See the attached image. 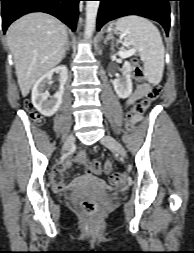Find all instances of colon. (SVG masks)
Masks as SVG:
<instances>
[{
	"instance_id": "5ec220e1",
	"label": "colon",
	"mask_w": 194,
	"mask_h": 253,
	"mask_svg": "<svg viewBox=\"0 0 194 253\" xmlns=\"http://www.w3.org/2000/svg\"><path fill=\"white\" fill-rule=\"evenodd\" d=\"M133 71H134V75L136 76V78L138 79H142V83H150V78H143V70L141 65L134 60L133 62ZM161 93V88L159 85H151L150 87V91L149 94L147 95V97L141 101H139L133 108L129 109L126 111L125 116H126V120H124V125H127L128 129L132 130L133 125L132 124V118L135 115H141L143 114L151 105V103L153 101H155L159 95ZM25 107L27 109H31L32 105L29 101H27L25 103ZM33 120L36 124H41L43 119L41 116H39L38 114H33L32 115ZM74 160L83 165L87 172L91 173V174H100L102 172V164L99 160L93 159L90 160L88 159L86 153L84 151H80L78 153H76L74 155ZM123 176L121 173L119 172H114L110 175V182L113 184H118L122 181ZM78 205L79 207L84 210L87 213H98L100 211V205L97 202L94 201H89V200H85V199H80L78 201Z\"/></svg>"
}]
</instances>
